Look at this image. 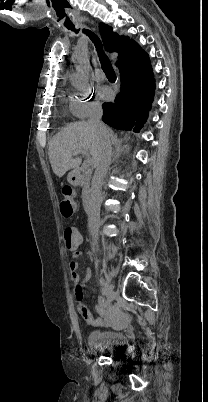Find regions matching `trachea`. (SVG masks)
<instances>
[{"label":"trachea","instance_id":"trachea-1","mask_svg":"<svg viewBox=\"0 0 208 402\" xmlns=\"http://www.w3.org/2000/svg\"><path fill=\"white\" fill-rule=\"evenodd\" d=\"M69 30L74 31L75 33L79 32V29L77 30L75 29V27H69ZM83 33H86V35H88L90 40L94 43L102 66V70L104 71L106 76L116 78L112 64L103 51V45L99 37L90 30L83 29Z\"/></svg>","mask_w":208,"mask_h":402}]
</instances>
